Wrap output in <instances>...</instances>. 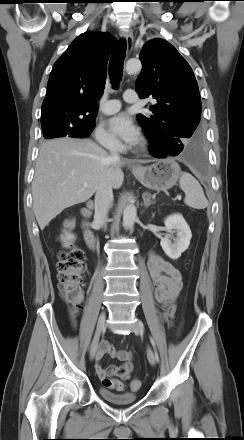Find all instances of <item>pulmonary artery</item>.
<instances>
[{"label": "pulmonary artery", "instance_id": "e3ab8cb5", "mask_svg": "<svg viewBox=\"0 0 244 440\" xmlns=\"http://www.w3.org/2000/svg\"><path fill=\"white\" fill-rule=\"evenodd\" d=\"M124 100L127 103H137L138 102V95L134 90H127L124 93ZM121 108V103L118 100H109L102 106V111L105 114H114L118 112Z\"/></svg>", "mask_w": 244, "mask_h": 440}]
</instances>
